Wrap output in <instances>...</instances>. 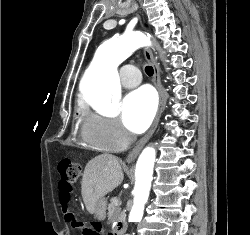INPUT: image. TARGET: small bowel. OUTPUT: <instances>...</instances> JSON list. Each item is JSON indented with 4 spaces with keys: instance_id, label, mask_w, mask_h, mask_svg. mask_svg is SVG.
Returning a JSON list of instances; mask_svg holds the SVG:
<instances>
[{
    "instance_id": "obj_1",
    "label": "small bowel",
    "mask_w": 250,
    "mask_h": 235,
    "mask_svg": "<svg viewBox=\"0 0 250 235\" xmlns=\"http://www.w3.org/2000/svg\"><path fill=\"white\" fill-rule=\"evenodd\" d=\"M70 200V193L68 194H59V204L63 209L64 214H66V210L68 209V203ZM84 230L89 231V235H99V232L96 228H85ZM81 235H85L84 232L80 231Z\"/></svg>"
}]
</instances>
